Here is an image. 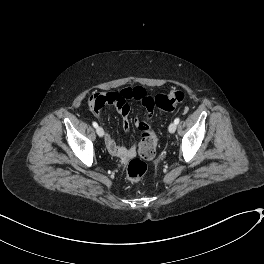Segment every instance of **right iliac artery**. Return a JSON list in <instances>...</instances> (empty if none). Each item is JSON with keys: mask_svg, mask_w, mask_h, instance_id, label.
Segmentation results:
<instances>
[{"mask_svg": "<svg viewBox=\"0 0 264 264\" xmlns=\"http://www.w3.org/2000/svg\"><path fill=\"white\" fill-rule=\"evenodd\" d=\"M92 125L97 128L98 127V124L96 122H92Z\"/></svg>", "mask_w": 264, "mask_h": 264, "instance_id": "82829eb1", "label": "right iliac artery"}]
</instances>
